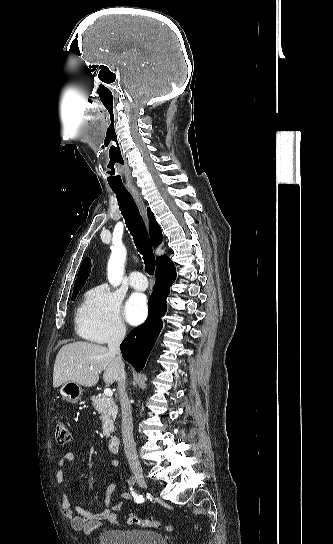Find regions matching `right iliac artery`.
Returning <instances> with one entry per match:
<instances>
[{
	"label": "right iliac artery",
	"mask_w": 333,
	"mask_h": 544,
	"mask_svg": "<svg viewBox=\"0 0 333 544\" xmlns=\"http://www.w3.org/2000/svg\"><path fill=\"white\" fill-rule=\"evenodd\" d=\"M130 490H131V494L132 496L134 497L135 501L140 503V502H143L144 501V498L142 495H137L134 491H133V488L130 487Z\"/></svg>",
	"instance_id": "right-iliac-artery-1"
}]
</instances>
